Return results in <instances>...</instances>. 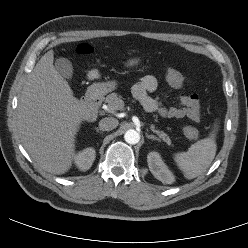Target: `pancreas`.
Wrapping results in <instances>:
<instances>
[{
    "label": "pancreas",
    "mask_w": 248,
    "mask_h": 248,
    "mask_svg": "<svg viewBox=\"0 0 248 248\" xmlns=\"http://www.w3.org/2000/svg\"><path fill=\"white\" fill-rule=\"evenodd\" d=\"M105 102L110 110H121L124 107V102L122 97L117 93H111L105 98ZM151 130L155 132L159 138L165 141L167 144H171V140L167 134L163 131L156 130L153 125H151Z\"/></svg>",
    "instance_id": "obj_1"
}]
</instances>
